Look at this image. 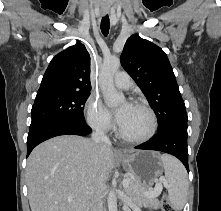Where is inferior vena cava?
<instances>
[{
    "instance_id": "602c4592",
    "label": "inferior vena cava",
    "mask_w": 221,
    "mask_h": 211,
    "mask_svg": "<svg viewBox=\"0 0 221 211\" xmlns=\"http://www.w3.org/2000/svg\"><path fill=\"white\" fill-rule=\"evenodd\" d=\"M92 140L98 145H103L106 147L111 146V142L108 136L106 135V128L101 125L95 128V131L92 133ZM103 191L104 183L102 180H99L95 185L94 193L92 195L90 211H104Z\"/></svg>"
}]
</instances>
